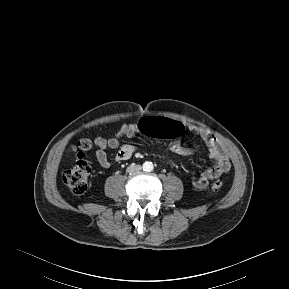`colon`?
I'll return each mask as SVG.
<instances>
[{
    "instance_id": "1",
    "label": "colon",
    "mask_w": 289,
    "mask_h": 289,
    "mask_svg": "<svg viewBox=\"0 0 289 289\" xmlns=\"http://www.w3.org/2000/svg\"><path fill=\"white\" fill-rule=\"evenodd\" d=\"M138 130L143 135L158 138H177L185 133V128L177 119L164 116L144 117L138 123ZM91 147L92 143L88 139H82L72 147V150L77 153V161L64 173L63 180L75 194H83L87 190L91 168L85 155ZM222 186L223 182L218 180L211 187L213 190H218Z\"/></svg>"
}]
</instances>
